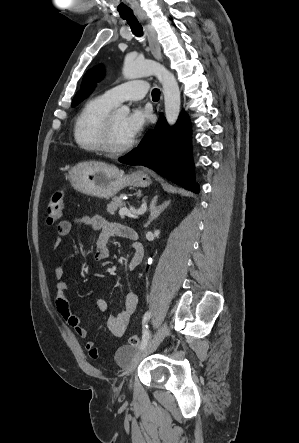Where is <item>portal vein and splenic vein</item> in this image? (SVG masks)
Here are the masks:
<instances>
[{
	"label": "portal vein and splenic vein",
	"mask_w": 299,
	"mask_h": 443,
	"mask_svg": "<svg viewBox=\"0 0 299 443\" xmlns=\"http://www.w3.org/2000/svg\"><path fill=\"white\" fill-rule=\"evenodd\" d=\"M146 211L145 207L140 208L139 210H135L133 208H130V210L126 207H123L119 210L120 216H128L131 218H137L138 215L143 214Z\"/></svg>",
	"instance_id": "portal-vein-and-splenic-vein-1"
}]
</instances>
